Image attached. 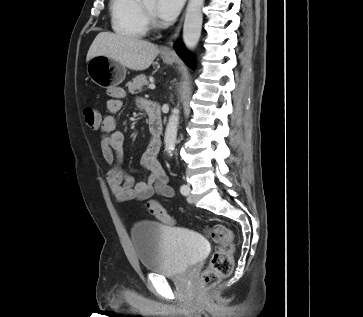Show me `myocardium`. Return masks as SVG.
Masks as SVG:
<instances>
[{"instance_id":"f54148a6","label":"myocardium","mask_w":363,"mask_h":317,"mask_svg":"<svg viewBox=\"0 0 363 317\" xmlns=\"http://www.w3.org/2000/svg\"><path fill=\"white\" fill-rule=\"evenodd\" d=\"M140 9L148 25L152 28L160 26L155 14L145 7L143 0H140Z\"/></svg>"}]
</instances>
